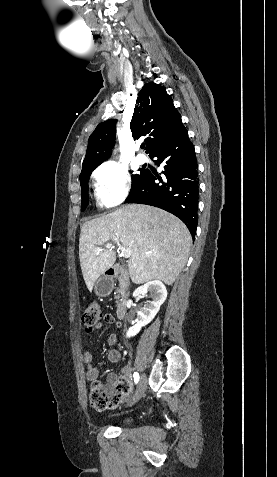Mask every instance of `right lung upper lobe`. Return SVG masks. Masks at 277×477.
<instances>
[{"instance_id": "1", "label": "right lung upper lobe", "mask_w": 277, "mask_h": 477, "mask_svg": "<svg viewBox=\"0 0 277 477\" xmlns=\"http://www.w3.org/2000/svg\"><path fill=\"white\" fill-rule=\"evenodd\" d=\"M115 123L112 119L102 122L90 135L82 170L97 167L108 159L115 142ZM184 128L165 88L154 82L145 84L138 93L130 129L134 139L146 136V153L167 143Z\"/></svg>"}]
</instances>
